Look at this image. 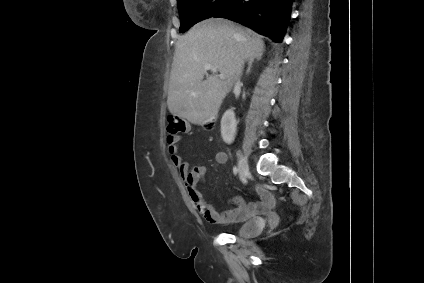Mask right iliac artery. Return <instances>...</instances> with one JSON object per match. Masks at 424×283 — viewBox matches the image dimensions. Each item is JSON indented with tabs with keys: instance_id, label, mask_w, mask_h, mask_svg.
I'll return each instance as SVG.
<instances>
[{
	"instance_id": "obj_1",
	"label": "right iliac artery",
	"mask_w": 424,
	"mask_h": 283,
	"mask_svg": "<svg viewBox=\"0 0 424 283\" xmlns=\"http://www.w3.org/2000/svg\"><path fill=\"white\" fill-rule=\"evenodd\" d=\"M233 172H234V174H237L238 169H237V167H236V166L233 168Z\"/></svg>"
}]
</instances>
